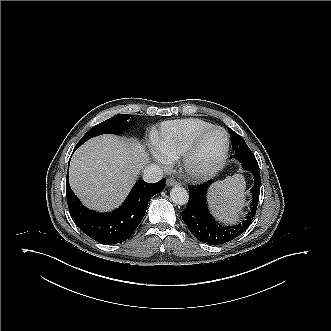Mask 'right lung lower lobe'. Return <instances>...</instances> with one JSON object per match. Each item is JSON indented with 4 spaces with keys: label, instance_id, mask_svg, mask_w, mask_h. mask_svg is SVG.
Segmentation results:
<instances>
[{
    "label": "right lung lower lobe",
    "instance_id": "1",
    "mask_svg": "<svg viewBox=\"0 0 331 331\" xmlns=\"http://www.w3.org/2000/svg\"><path fill=\"white\" fill-rule=\"evenodd\" d=\"M78 147L77 144L75 149ZM165 183V179L154 184L138 180L120 208L111 213H98L81 204L71 190L67 176L69 212L76 225L92 239L102 244L120 243L133 234L145 215L149 199L161 192Z\"/></svg>",
    "mask_w": 331,
    "mask_h": 331
}]
</instances>
